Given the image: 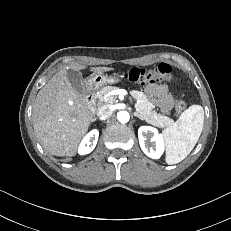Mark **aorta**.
<instances>
[{"instance_id":"1","label":"aorta","mask_w":231,"mask_h":231,"mask_svg":"<svg viewBox=\"0 0 231 231\" xmlns=\"http://www.w3.org/2000/svg\"><path fill=\"white\" fill-rule=\"evenodd\" d=\"M117 119L121 123H127L130 119V115L127 111H119L117 113Z\"/></svg>"}]
</instances>
